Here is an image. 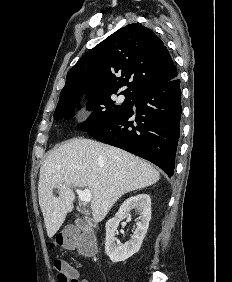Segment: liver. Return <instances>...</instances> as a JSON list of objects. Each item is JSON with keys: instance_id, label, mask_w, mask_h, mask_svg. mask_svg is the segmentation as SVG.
Here are the masks:
<instances>
[{"instance_id": "1", "label": "liver", "mask_w": 232, "mask_h": 282, "mask_svg": "<svg viewBox=\"0 0 232 282\" xmlns=\"http://www.w3.org/2000/svg\"><path fill=\"white\" fill-rule=\"evenodd\" d=\"M159 172L146 161L119 148L73 138L52 151L39 175L38 196L47 235L52 238L74 207V187L91 191L96 221L105 218L124 194L155 184ZM58 190V197L54 190Z\"/></svg>"}]
</instances>
